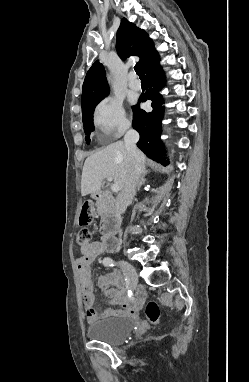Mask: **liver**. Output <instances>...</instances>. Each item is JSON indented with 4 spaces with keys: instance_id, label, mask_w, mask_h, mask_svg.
Returning <instances> with one entry per match:
<instances>
[{
    "instance_id": "obj_1",
    "label": "liver",
    "mask_w": 249,
    "mask_h": 382,
    "mask_svg": "<svg viewBox=\"0 0 249 382\" xmlns=\"http://www.w3.org/2000/svg\"><path fill=\"white\" fill-rule=\"evenodd\" d=\"M140 171L146 172L145 155L139 151ZM130 166L125 143L117 141L90 155L84 163L81 178V194L99 193L103 180H113L122 190Z\"/></svg>"
}]
</instances>
